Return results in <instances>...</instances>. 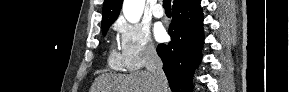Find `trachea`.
Segmentation results:
<instances>
[{
  "instance_id": "obj_1",
  "label": "trachea",
  "mask_w": 289,
  "mask_h": 92,
  "mask_svg": "<svg viewBox=\"0 0 289 92\" xmlns=\"http://www.w3.org/2000/svg\"><path fill=\"white\" fill-rule=\"evenodd\" d=\"M163 8L165 9V12H171V0H164Z\"/></svg>"
}]
</instances>
